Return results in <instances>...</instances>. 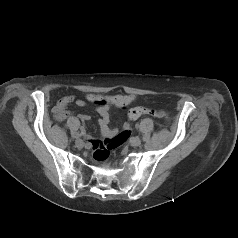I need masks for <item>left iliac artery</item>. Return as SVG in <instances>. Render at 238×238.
<instances>
[{
  "label": "left iliac artery",
  "instance_id": "obj_1",
  "mask_svg": "<svg viewBox=\"0 0 238 238\" xmlns=\"http://www.w3.org/2000/svg\"><path fill=\"white\" fill-rule=\"evenodd\" d=\"M143 139H145V141L148 142V141H150L151 138H150V136L147 135V136H145V138H143Z\"/></svg>",
  "mask_w": 238,
  "mask_h": 238
}]
</instances>
